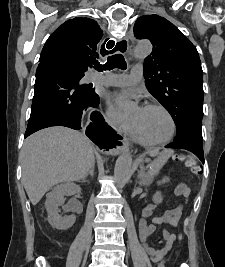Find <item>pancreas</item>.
I'll return each instance as SVG.
<instances>
[{
	"mask_svg": "<svg viewBox=\"0 0 225 267\" xmlns=\"http://www.w3.org/2000/svg\"><path fill=\"white\" fill-rule=\"evenodd\" d=\"M165 161L166 160L159 158L155 160L154 162L150 163V167L147 169L146 174H145V179H144L145 184H149L152 182L154 177L158 175L159 170L161 169Z\"/></svg>",
	"mask_w": 225,
	"mask_h": 267,
	"instance_id": "pancreas-1",
	"label": "pancreas"
}]
</instances>
